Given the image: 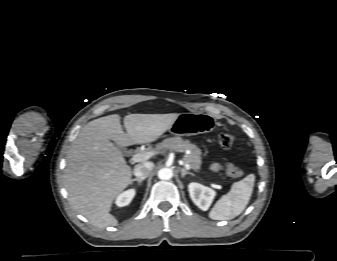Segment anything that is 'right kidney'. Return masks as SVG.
<instances>
[{
	"label": "right kidney",
	"mask_w": 337,
	"mask_h": 261,
	"mask_svg": "<svg viewBox=\"0 0 337 261\" xmlns=\"http://www.w3.org/2000/svg\"><path fill=\"white\" fill-rule=\"evenodd\" d=\"M134 196H135L134 189H129L121 193L116 199L117 206L119 207L127 206L131 202Z\"/></svg>",
	"instance_id": "1"
}]
</instances>
